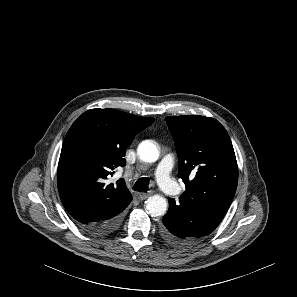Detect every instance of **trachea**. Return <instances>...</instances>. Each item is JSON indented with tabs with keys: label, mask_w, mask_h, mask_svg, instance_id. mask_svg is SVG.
<instances>
[{
	"label": "trachea",
	"mask_w": 297,
	"mask_h": 297,
	"mask_svg": "<svg viewBox=\"0 0 297 297\" xmlns=\"http://www.w3.org/2000/svg\"><path fill=\"white\" fill-rule=\"evenodd\" d=\"M133 189L137 191H148L149 190V179L146 177H142L138 179L134 186Z\"/></svg>",
	"instance_id": "1"
}]
</instances>
